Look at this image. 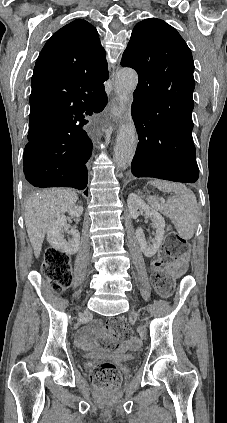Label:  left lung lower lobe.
I'll use <instances>...</instances> for the list:
<instances>
[{
  "label": "left lung lower lobe",
  "mask_w": 227,
  "mask_h": 423,
  "mask_svg": "<svg viewBox=\"0 0 227 423\" xmlns=\"http://www.w3.org/2000/svg\"><path fill=\"white\" fill-rule=\"evenodd\" d=\"M139 143L131 167L136 177L193 183L199 177L192 112L150 111L132 106Z\"/></svg>",
  "instance_id": "left-lung-lower-lobe-1"
}]
</instances>
